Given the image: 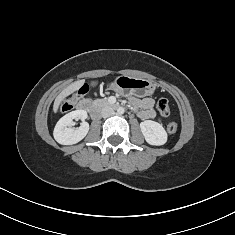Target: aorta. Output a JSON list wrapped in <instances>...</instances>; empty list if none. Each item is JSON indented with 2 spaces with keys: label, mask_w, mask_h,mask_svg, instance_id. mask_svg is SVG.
I'll use <instances>...</instances> for the list:
<instances>
[{
  "label": "aorta",
  "mask_w": 235,
  "mask_h": 235,
  "mask_svg": "<svg viewBox=\"0 0 235 235\" xmlns=\"http://www.w3.org/2000/svg\"><path fill=\"white\" fill-rule=\"evenodd\" d=\"M124 112H125V110H124L123 107H119V108L117 109V113H118V114H123Z\"/></svg>",
  "instance_id": "762f6f07"
}]
</instances>
